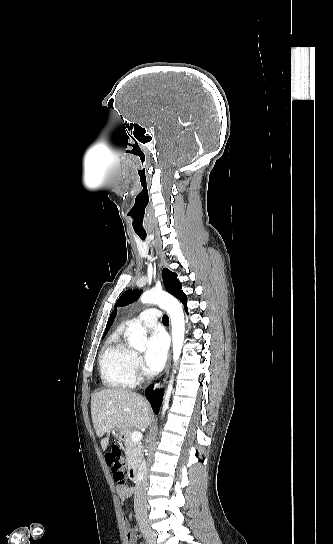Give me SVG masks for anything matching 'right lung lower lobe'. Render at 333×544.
Returning a JSON list of instances; mask_svg holds the SVG:
<instances>
[{"mask_svg": "<svg viewBox=\"0 0 333 544\" xmlns=\"http://www.w3.org/2000/svg\"><path fill=\"white\" fill-rule=\"evenodd\" d=\"M146 397L150 401L154 413L157 414L162 403L163 392L159 389L154 391L153 386H150L146 390Z\"/></svg>", "mask_w": 333, "mask_h": 544, "instance_id": "98d812e1", "label": "right lung lower lobe"}]
</instances>
